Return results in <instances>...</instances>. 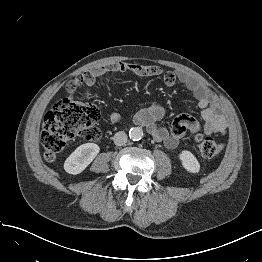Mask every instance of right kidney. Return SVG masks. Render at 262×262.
<instances>
[{"instance_id":"obj_1","label":"right kidney","mask_w":262,"mask_h":262,"mask_svg":"<svg viewBox=\"0 0 262 262\" xmlns=\"http://www.w3.org/2000/svg\"><path fill=\"white\" fill-rule=\"evenodd\" d=\"M100 148L95 143H86L77 147L64 162V170L69 174L81 173L97 156Z\"/></svg>"}]
</instances>
